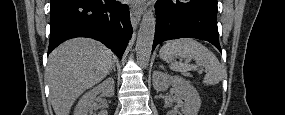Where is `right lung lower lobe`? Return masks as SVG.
Masks as SVG:
<instances>
[{"instance_id": "98d812e1", "label": "right lung lower lobe", "mask_w": 285, "mask_h": 115, "mask_svg": "<svg viewBox=\"0 0 285 115\" xmlns=\"http://www.w3.org/2000/svg\"><path fill=\"white\" fill-rule=\"evenodd\" d=\"M48 54L74 37L94 38L121 59L131 38L129 8L115 0H51Z\"/></svg>"}]
</instances>
